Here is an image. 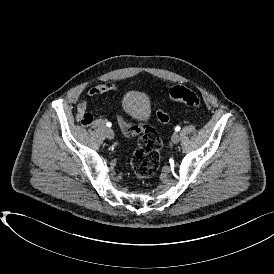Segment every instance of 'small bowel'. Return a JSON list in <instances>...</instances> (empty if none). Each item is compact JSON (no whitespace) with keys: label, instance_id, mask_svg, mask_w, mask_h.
<instances>
[{"label":"small bowel","instance_id":"obj_1","mask_svg":"<svg viewBox=\"0 0 274 274\" xmlns=\"http://www.w3.org/2000/svg\"><path fill=\"white\" fill-rule=\"evenodd\" d=\"M110 92H121V88L114 82L100 83L89 89L88 96L92 100L105 99V95ZM76 120L83 126H89L93 122V115L88 111V102L80 101L77 104Z\"/></svg>","mask_w":274,"mask_h":274}]
</instances>
